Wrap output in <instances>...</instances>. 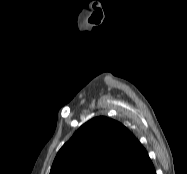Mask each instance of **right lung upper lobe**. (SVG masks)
I'll return each instance as SVG.
<instances>
[{
  "instance_id": "1",
  "label": "right lung upper lobe",
  "mask_w": 187,
  "mask_h": 174,
  "mask_svg": "<svg viewBox=\"0 0 187 174\" xmlns=\"http://www.w3.org/2000/svg\"><path fill=\"white\" fill-rule=\"evenodd\" d=\"M147 151L121 123L96 117L57 153L50 174H151Z\"/></svg>"
}]
</instances>
